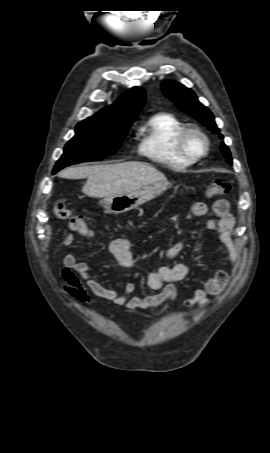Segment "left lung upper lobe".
I'll list each match as a JSON object with an SVG mask.
<instances>
[{
    "label": "left lung upper lobe",
    "mask_w": 270,
    "mask_h": 453,
    "mask_svg": "<svg viewBox=\"0 0 270 453\" xmlns=\"http://www.w3.org/2000/svg\"><path fill=\"white\" fill-rule=\"evenodd\" d=\"M161 88L164 95L174 102L183 112L201 121L212 132H220L215 124L214 116L211 111L198 101L197 96L191 89L174 81H164ZM219 135L220 138L223 139V136L221 134ZM220 149L226 160L232 164L230 151L223 142Z\"/></svg>",
    "instance_id": "1"
}]
</instances>
